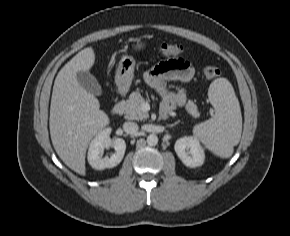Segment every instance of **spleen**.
I'll list each match as a JSON object with an SVG mask.
<instances>
[{
    "instance_id": "1",
    "label": "spleen",
    "mask_w": 290,
    "mask_h": 236,
    "mask_svg": "<svg viewBox=\"0 0 290 236\" xmlns=\"http://www.w3.org/2000/svg\"><path fill=\"white\" fill-rule=\"evenodd\" d=\"M208 97L215 109V115L195 125L193 134L214 154L229 158L242 133L239 101L226 78H217L210 84Z\"/></svg>"
}]
</instances>
